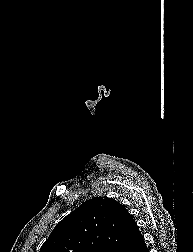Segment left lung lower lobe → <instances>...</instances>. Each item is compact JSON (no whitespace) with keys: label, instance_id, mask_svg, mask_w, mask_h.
Returning <instances> with one entry per match:
<instances>
[{"label":"left lung lower lobe","instance_id":"0a47b994","mask_svg":"<svg viewBox=\"0 0 193 252\" xmlns=\"http://www.w3.org/2000/svg\"><path fill=\"white\" fill-rule=\"evenodd\" d=\"M122 252H149L138 227L132 234Z\"/></svg>","mask_w":193,"mask_h":252}]
</instances>
